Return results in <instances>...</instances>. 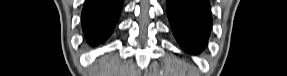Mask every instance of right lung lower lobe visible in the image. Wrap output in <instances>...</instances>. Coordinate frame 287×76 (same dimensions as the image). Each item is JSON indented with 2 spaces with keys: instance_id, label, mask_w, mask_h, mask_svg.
I'll return each instance as SVG.
<instances>
[{
  "instance_id": "obj_1",
  "label": "right lung lower lobe",
  "mask_w": 287,
  "mask_h": 76,
  "mask_svg": "<svg viewBox=\"0 0 287 76\" xmlns=\"http://www.w3.org/2000/svg\"><path fill=\"white\" fill-rule=\"evenodd\" d=\"M123 0H85L82 26L91 45L104 42L112 34Z\"/></svg>"
}]
</instances>
